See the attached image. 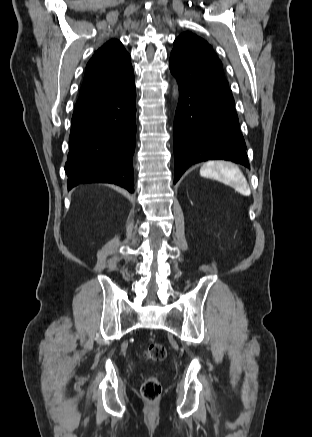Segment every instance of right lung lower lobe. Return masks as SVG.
I'll use <instances>...</instances> for the list:
<instances>
[{
    "instance_id": "obj_1",
    "label": "right lung lower lobe",
    "mask_w": 312,
    "mask_h": 437,
    "mask_svg": "<svg viewBox=\"0 0 312 437\" xmlns=\"http://www.w3.org/2000/svg\"><path fill=\"white\" fill-rule=\"evenodd\" d=\"M135 116L134 73L114 90L75 105L65 165L68 190L86 183H114L134 192Z\"/></svg>"
}]
</instances>
